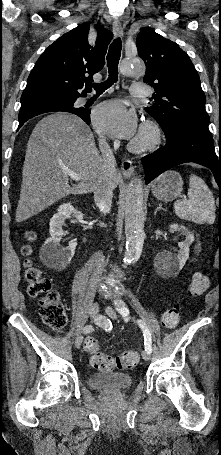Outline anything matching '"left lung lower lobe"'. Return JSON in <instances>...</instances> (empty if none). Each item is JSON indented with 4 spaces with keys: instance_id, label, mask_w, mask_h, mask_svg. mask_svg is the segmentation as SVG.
I'll use <instances>...</instances> for the list:
<instances>
[{
    "instance_id": "0a47b994",
    "label": "left lung lower lobe",
    "mask_w": 221,
    "mask_h": 455,
    "mask_svg": "<svg viewBox=\"0 0 221 455\" xmlns=\"http://www.w3.org/2000/svg\"><path fill=\"white\" fill-rule=\"evenodd\" d=\"M166 139L164 147L143 158L146 184L172 167L194 162L208 167L221 189V155H216L208 129L185 125Z\"/></svg>"
}]
</instances>
